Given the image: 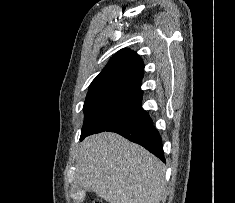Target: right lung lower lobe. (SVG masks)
Masks as SVG:
<instances>
[{"label": "right lung lower lobe", "mask_w": 235, "mask_h": 203, "mask_svg": "<svg viewBox=\"0 0 235 203\" xmlns=\"http://www.w3.org/2000/svg\"><path fill=\"white\" fill-rule=\"evenodd\" d=\"M103 131L116 132L140 144L165 162L161 137L154 128L148 113L142 109L141 99L100 122L82 139Z\"/></svg>", "instance_id": "obj_1"}]
</instances>
